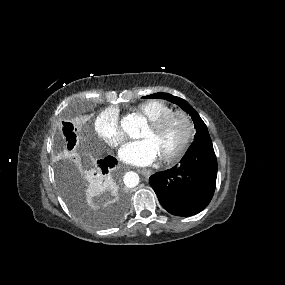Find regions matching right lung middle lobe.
Masks as SVG:
<instances>
[{
	"mask_svg": "<svg viewBox=\"0 0 285 285\" xmlns=\"http://www.w3.org/2000/svg\"><path fill=\"white\" fill-rule=\"evenodd\" d=\"M73 125L63 122L62 132L56 137V147L62 159L57 164V180L60 191L70 209L79 217L96 227H108L119 221L121 212L112 220H100L91 216L84 202L87 180H100L97 163L79 152Z\"/></svg>",
	"mask_w": 285,
	"mask_h": 285,
	"instance_id": "obj_1",
	"label": "right lung middle lobe"
}]
</instances>
